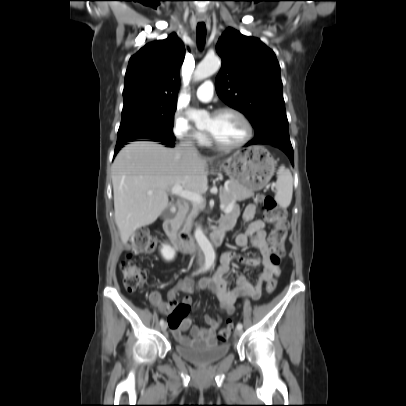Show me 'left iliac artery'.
I'll use <instances>...</instances> for the list:
<instances>
[{
	"label": "left iliac artery",
	"mask_w": 406,
	"mask_h": 406,
	"mask_svg": "<svg viewBox=\"0 0 406 406\" xmlns=\"http://www.w3.org/2000/svg\"><path fill=\"white\" fill-rule=\"evenodd\" d=\"M242 327H243V326H242L241 323H238V324H237V329H242Z\"/></svg>",
	"instance_id": "obj_1"
}]
</instances>
